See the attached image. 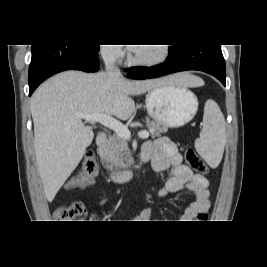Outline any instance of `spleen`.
<instances>
[{"label":"spleen","mask_w":267,"mask_h":267,"mask_svg":"<svg viewBox=\"0 0 267 267\" xmlns=\"http://www.w3.org/2000/svg\"><path fill=\"white\" fill-rule=\"evenodd\" d=\"M226 140L225 119L220 108L207 107L203 117V129L195 142L197 152L209 166L215 168L221 162Z\"/></svg>","instance_id":"1"}]
</instances>
